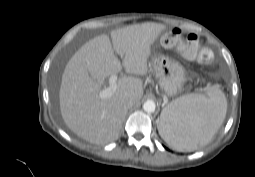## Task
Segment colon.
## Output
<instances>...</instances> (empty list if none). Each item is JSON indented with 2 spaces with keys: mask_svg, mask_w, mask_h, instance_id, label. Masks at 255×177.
Here are the masks:
<instances>
[{
  "mask_svg": "<svg viewBox=\"0 0 255 177\" xmlns=\"http://www.w3.org/2000/svg\"><path fill=\"white\" fill-rule=\"evenodd\" d=\"M163 44L166 47L177 49L185 59L197 61L201 64L211 63L214 57L213 52L209 48L200 47L197 34L189 33L183 38L179 28H174L164 38Z\"/></svg>",
  "mask_w": 255,
  "mask_h": 177,
  "instance_id": "obj_1",
  "label": "colon"
}]
</instances>
